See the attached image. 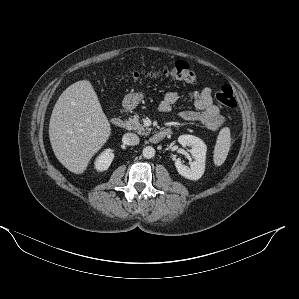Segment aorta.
Instances as JSON below:
<instances>
[{
    "label": "aorta",
    "instance_id": "aorta-1",
    "mask_svg": "<svg viewBox=\"0 0 299 299\" xmlns=\"http://www.w3.org/2000/svg\"><path fill=\"white\" fill-rule=\"evenodd\" d=\"M143 157L146 159H151L155 156V149L151 146H146L142 151Z\"/></svg>",
    "mask_w": 299,
    "mask_h": 299
}]
</instances>
